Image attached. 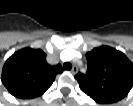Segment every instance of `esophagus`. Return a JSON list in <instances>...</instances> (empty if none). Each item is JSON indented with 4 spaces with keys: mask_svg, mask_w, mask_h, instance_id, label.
<instances>
[{
    "mask_svg": "<svg viewBox=\"0 0 133 106\" xmlns=\"http://www.w3.org/2000/svg\"><path fill=\"white\" fill-rule=\"evenodd\" d=\"M77 72H78V67L73 66L72 69H71V73L75 75Z\"/></svg>",
    "mask_w": 133,
    "mask_h": 106,
    "instance_id": "obj_1",
    "label": "esophagus"
}]
</instances>
